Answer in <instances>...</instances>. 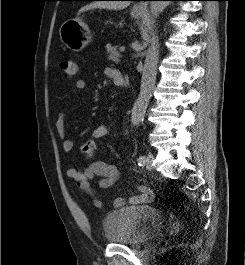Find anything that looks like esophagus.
Here are the masks:
<instances>
[{"mask_svg":"<svg viewBox=\"0 0 245 265\" xmlns=\"http://www.w3.org/2000/svg\"><path fill=\"white\" fill-rule=\"evenodd\" d=\"M146 9H147V3H146V1H144V0L140 1L139 3H137V4L134 6V10H136V11H141V12H143V11H146Z\"/></svg>","mask_w":245,"mask_h":265,"instance_id":"1","label":"esophagus"}]
</instances>
